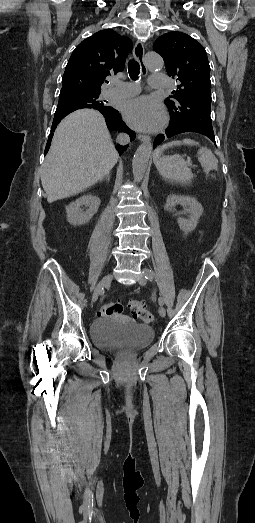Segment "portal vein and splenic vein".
<instances>
[{
	"label": "portal vein and splenic vein",
	"instance_id": "1",
	"mask_svg": "<svg viewBox=\"0 0 255 523\" xmlns=\"http://www.w3.org/2000/svg\"><path fill=\"white\" fill-rule=\"evenodd\" d=\"M187 165H189V166H194V161H189V162H187Z\"/></svg>",
	"mask_w": 255,
	"mask_h": 523
}]
</instances>
